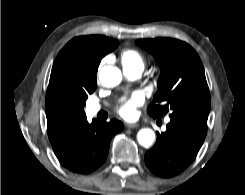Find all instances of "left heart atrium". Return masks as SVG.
Returning <instances> with one entry per match:
<instances>
[{
  "label": "left heart atrium",
  "mask_w": 245,
  "mask_h": 195,
  "mask_svg": "<svg viewBox=\"0 0 245 195\" xmlns=\"http://www.w3.org/2000/svg\"><path fill=\"white\" fill-rule=\"evenodd\" d=\"M142 102V95L140 93H134L119 107L118 112L122 117L131 119L136 115V108L140 106Z\"/></svg>",
  "instance_id": "left-heart-atrium-1"
}]
</instances>
